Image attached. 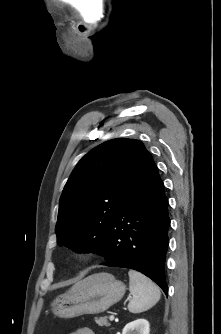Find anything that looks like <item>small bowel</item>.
<instances>
[{"mask_svg": "<svg viewBox=\"0 0 221 334\" xmlns=\"http://www.w3.org/2000/svg\"><path fill=\"white\" fill-rule=\"evenodd\" d=\"M70 334H95V333L93 332L92 329L88 327H82V328H78L77 330H75L74 332Z\"/></svg>", "mask_w": 221, "mask_h": 334, "instance_id": "small-bowel-1", "label": "small bowel"}]
</instances>
